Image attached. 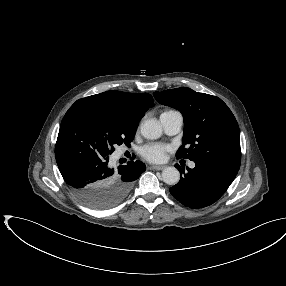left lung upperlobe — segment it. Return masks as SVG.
<instances>
[{
	"instance_id": "left-lung-upper-lobe-1",
	"label": "left lung upper lobe",
	"mask_w": 286,
	"mask_h": 286,
	"mask_svg": "<svg viewBox=\"0 0 286 286\" xmlns=\"http://www.w3.org/2000/svg\"><path fill=\"white\" fill-rule=\"evenodd\" d=\"M153 95L159 103L183 114V145L176 157L194 162H216L239 170V126L221 99L187 87L154 92Z\"/></svg>"
}]
</instances>
